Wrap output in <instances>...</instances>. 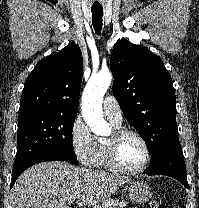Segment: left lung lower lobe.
<instances>
[{"instance_id": "obj_1", "label": "left lung lower lobe", "mask_w": 199, "mask_h": 208, "mask_svg": "<svg viewBox=\"0 0 199 208\" xmlns=\"http://www.w3.org/2000/svg\"><path fill=\"white\" fill-rule=\"evenodd\" d=\"M146 172L148 175L171 176L188 188L186 166L179 140L165 147L159 156L151 161Z\"/></svg>"}]
</instances>
